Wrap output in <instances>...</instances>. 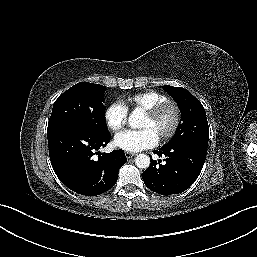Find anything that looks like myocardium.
I'll use <instances>...</instances> for the list:
<instances>
[{
  "label": "myocardium",
  "instance_id": "1",
  "mask_svg": "<svg viewBox=\"0 0 257 257\" xmlns=\"http://www.w3.org/2000/svg\"><path fill=\"white\" fill-rule=\"evenodd\" d=\"M167 110H172L173 122L169 130L163 133L162 135H160L159 140L161 141L169 140L176 134L180 126L181 117H182L180 106L175 101L167 99L151 107L150 109H147L144 111V114L148 118H150L151 120H156Z\"/></svg>",
  "mask_w": 257,
  "mask_h": 257
}]
</instances>
